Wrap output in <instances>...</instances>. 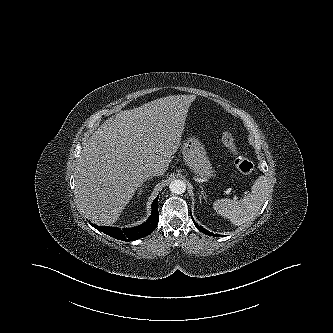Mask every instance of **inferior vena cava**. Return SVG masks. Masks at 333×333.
<instances>
[{
    "label": "inferior vena cava",
    "instance_id": "602c4592",
    "mask_svg": "<svg viewBox=\"0 0 333 333\" xmlns=\"http://www.w3.org/2000/svg\"><path fill=\"white\" fill-rule=\"evenodd\" d=\"M160 175H162L161 170L158 168H153V169L149 170L146 178L153 177V176H160Z\"/></svg>",
    "mask_w": 333,
    "mask_h": 333
}]
</instances>
